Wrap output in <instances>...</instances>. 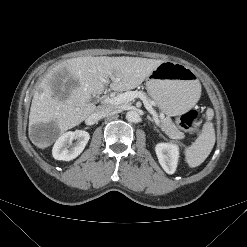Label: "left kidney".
Segmentation results:
<instances>
[{"instance_id": "1", "label": "left kidney", "mask_w": 247, "mask_h": 247, "mask_svg": "<svg viewBox=\"0 0 247 247\" xmlns=\"http://www.w3.org/2000/svg\"><path fill=\"white\" fill-rule=\"evenodd\" d=\"M155 152L163 170L168 174H173L176 171L178 164V145L172 143H159L155 147Z\"/></svg>"}]
</instances>
